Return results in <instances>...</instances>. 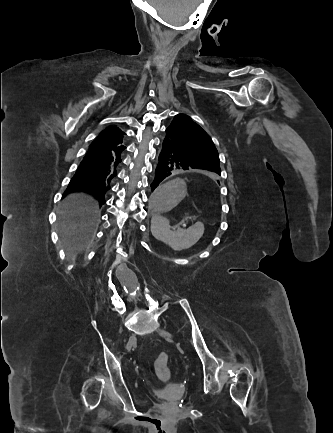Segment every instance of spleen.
Here are the masks:
<instances>
[{"label": "spleen", "mask_w": 333, "mask_h": 433, "mask_svg": "<svg viewBox=\"0 0 333 433\" xmlns=\"http://www.w3.org/2000/svg\"><path fill=\"white\" fill-rule=\"evenodd\" d=\"M169 181L166 183H171ZM151 233L159 241L175 251L190 248L196 244L204 233V224L196 222L187 229L170 226L169 220L163 215H152Z\"/></svg>", "instance_id": "spleen-1"}]
</instances>
